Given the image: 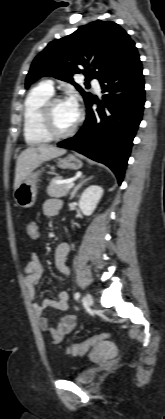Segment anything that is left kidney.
<instances>
[{
  "label": "left kidney",
  "mask_w": 165,
  "mask_h": 419,
  "mask_svg": "<svg viewBox=\"0 0 165 419\" xmlns=\"http://www.w3.org/2000/svg\"><path fill=\"white\" fill-rule=\"evenodd\" d=\"M103 192L102 187L97 185H91L83 191L79 200V207L84 215L90 216L94 212Z\"/></svg>",
  "instance_id": "1"
}]
</instances>
